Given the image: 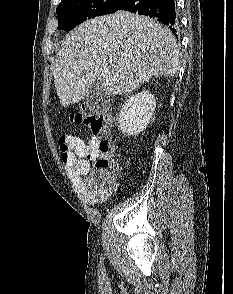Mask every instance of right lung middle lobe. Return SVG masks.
<instances>
[{
  "instance_id": "1",
  "label": "right lung middle lobe",
  "mask_w": 233,
  "mask_h": 294,
  "mask_svg": "<svg viewBox=\"0 0 233 294\" xmlns=\"http://www.w3.org/2000/svg\"><path fill=\"white\" fill-rule=\"evenodd\" d=\"M125 0H61L57 6L59 30L70 31L87 19L116 12Z\"/></svg>"
}]
</instances>
